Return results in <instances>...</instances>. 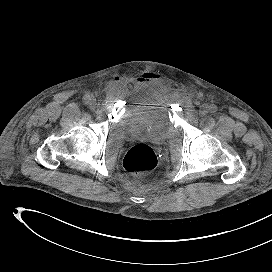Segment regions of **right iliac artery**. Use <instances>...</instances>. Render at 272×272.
<instances>
[{
    "mask_svg": "<svg viewBox=\"0 0 272 272\" xmlns=\"http://www.w3.org/2000/svg\"><path fill=\"white\" fill-rule=\"evenodd\" d=\"M83 102H84V104H89V102H90V96L89 95H85L83 97Z\"/></svg>",
    "mask_w": 272,
    "mask_h": 272,
    "instance_id": "right-iliac-artery-1",
    "label": "right iliac artery"
}]
</instances>
